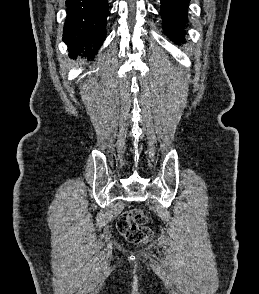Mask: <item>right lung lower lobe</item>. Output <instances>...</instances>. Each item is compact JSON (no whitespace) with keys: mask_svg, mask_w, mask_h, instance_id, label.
I'll use <instances>...</instances> for the list:
<instances>
[{"mask_svg":"<svg viewBox=\"0 0 259 294\" xmlns=\"http://www.w3.org/2000/svg\"><path fill=\"white\" fill-rule=\"evenodd\" d=\"M63 41L70 52L93 58L105 39L108 0H66Z\"/></svg>","mask_w":259,"mask_h":294,"instance_id":"obj_1","label":"right lung lower lobe"}]
</instances>
